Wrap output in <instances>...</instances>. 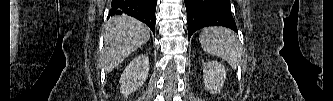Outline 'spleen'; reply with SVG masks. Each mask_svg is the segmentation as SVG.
<instances>
[{
	"instance_id": "spleen-1",
	"label": "spleen",
	"mask_w": 333,
	"mask_h": 101,
	"mask_svg": "<svg viewBox=\"0 0 333 101\" xmlns=\"http://www.w3.org/2000/svg\"><path fill=\"white\" fill-rule=\"evenodd\" d=\"M199 40L205 52L226 60L233 69L242 63L243 50L233 31L224 27L205 28Z\"/></svg>"
}]
</instances>
